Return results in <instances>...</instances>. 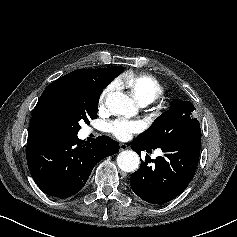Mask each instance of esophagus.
Instances as JSON below:
<instances>
[{
	"label": "esophagus",
	"instance_id": "34e87169",
	"mask_svg": "<svg viewBox=\"0 0 237 237\" xmlns=\"http://www.w3.org/2000/svg\"><path fill=\"white\" fill-rule=\"evenodd\" d=\"M119 147H120L121 151L128 149V146L126 144H124V143H120Z\"/></svg>",
	"mask_w": 237,
	"mask_h": 237
}]
</instances>
